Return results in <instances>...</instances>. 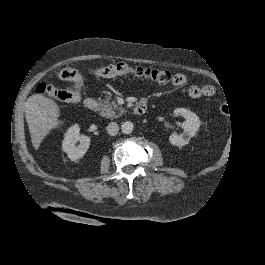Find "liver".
I'll use <instances>...</instances> for the list:
<instances>
[{
  "instance_id": "1",
  "label": "liver",
  "mask_w": 265,
  "mask_h": 265,
  "mask_svg": "<svg viewBox=\"0 0 265 265\" xmlns=\"http://www.w3.org/2000/svg\"><path fill=\"white\" fill-rule=\"evenodd\" d=\"M59 103L45 93H35L26 104V120L33 148L38 151L42 142L55 129H62L66 123L61 117Z\"/></svg>"
}]
</instances>
